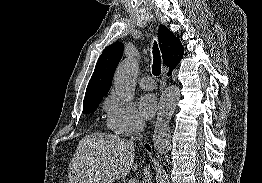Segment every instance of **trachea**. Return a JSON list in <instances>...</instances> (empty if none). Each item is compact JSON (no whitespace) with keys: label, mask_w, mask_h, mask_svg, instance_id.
Segmentation results:
<instances>
[{"label":"trachea","mask_w":262,"mask_h":183,"mask_svg":"<svg viewBox=\"0 0 262 183\" xmlns=\"http://www.w3.org/2000/svg\"><path fill=\"white\" fill-rule=\"evenodd\" d=\"M153 58L152 73L159 76L161 74V56L156 42L153 45Z\"/></svg>","instance_id":"obj_1"}]
</instances>
